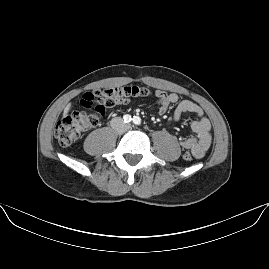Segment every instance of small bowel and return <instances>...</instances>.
<instances>
[{
    "label": "small bowel",
    "instance_id": "1",
    "mask_svg": "<svg viewBox=\"0 0 269 269\" xmlns=\"http://www.w3.org/2000/svg\"><path fill=\"white\" fill-rule=\"evenodd\" d=\"M158 112L164 114L171 105H175L172 115L174 123H178L185 113H193L197 119L191 123L193 136L182 138V148L190 150L195 158H202L206 155L212 144V133L210 121L204 116L200 106L190 100H180L178 94L168 93L164 90H157Z\"/></svg>",
    "mask_w": 269,
    "mask_h": 269
}]
</instances>
